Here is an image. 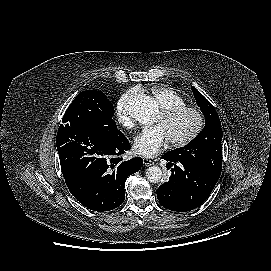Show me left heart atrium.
Masks as SVG:
<instances>
[{"label": "left heart atrium", "mask_w": 271, "mask_h": 271, "mask_svg": "<svg viewBox=\"0 0 271 271\" xmlns=\"http://www.w3.org/2000/svg\"><path fill=\"white\" fill-rule=\"evenodd\" d=\"M169 142V137L160 124L142 130L133 142L134 151L144 157H153L162 152Z\"/></svg>", "instance_id": "39dd6f15"}]
</instances>
